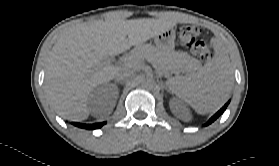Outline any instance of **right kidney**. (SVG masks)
<instances>
[{"mask_svg":"<svg viewBox=\"0 0 279 166\" xmlns=\"http://www.w3.org/2000/svg\"><path fill=\"white\" fill-rule=\"evenodd\" d=\"M117 97L118 89L113 91V89L109 87H100L90 94L89 101L91 104H99L103 100H107L109 98L117 99Z\"/></svg>","mask_w":279,"mask_h":166,"instance_id":"1","label":"right kidney"}]
</instances>
